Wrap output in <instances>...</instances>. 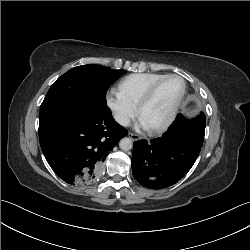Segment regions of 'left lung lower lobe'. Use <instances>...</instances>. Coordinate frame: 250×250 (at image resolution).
Segmentation results:
<instances>
[{"instance_id":"1","label":"left lung lower lobe","mask_w":250,"mask_h":250,"mask_svg":"<svg viewBox=\"0 0 250 250\" xmlns=\"http://www.w3.org/2000/svg\"><path fill=\"white\" fill-rule=\"evenodd\" d=\"M205 115L193 120L180 114L162 137L134 142L131 159L132 173L144 187H169L191 169L204 140Z\"/></svg>"}]
</instances>
